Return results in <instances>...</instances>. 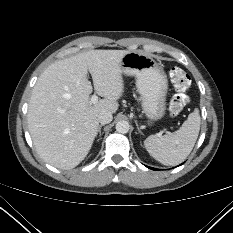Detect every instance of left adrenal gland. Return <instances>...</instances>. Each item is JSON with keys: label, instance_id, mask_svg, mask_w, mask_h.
Returning <instances> with one entry per match:
<instances>
[{"label": "left adrenal gland", "instance_id": "obj_1", "mask_svg": "<svg viewBox=\"0 0 233 233\" xmlns=\"http://www.w3.org/2000/svg\"><path fill=\"white\" fill-rule=\"evenodd\" d=\"M136 125H137V130H138V132L142 135L143 133H142L141 130L139 129L138 124H136Z\"/></svg>", "mask_w": 233, "mask_h": 233}]
</instances>
